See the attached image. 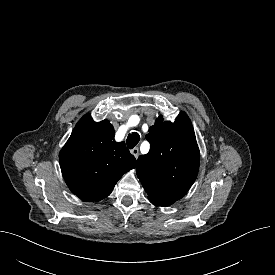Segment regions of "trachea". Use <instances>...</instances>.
Wrapping results in <instances>:
<instances>
[{"mask_svg": "<svg viewBox=\"0 0 275 275\" xmlns=\"http://www.w3.org/2000/svg\"><path fill=\"white\" fill-rule=\"evenodd\" d=\"M140 140V136L137 132H132V134H129L127 137V146L129 149L134 148Z\"/></svg>", "mask_w": 275, "mask_h": 275, "instance_id": "1", "label": "trachea"}]
</instances>
